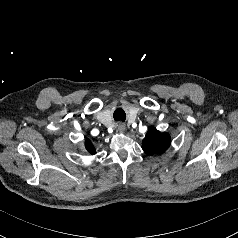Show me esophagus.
<instances>
[{"label":"esophagus","instance_id":"1","mask_svg":"<svg viewBox=\"0 0 238 238\" xmlns=\"http://www.w3.org/2000/svg\"><path fill=\"white\" fill-rule=\"evenodd\" d=\"M117 127H118V131H119V132H123L124 129H125V126H124V124H122V123H119V124L117 125Z\"/></svg>","mask_w":238,"mask_h":238}]
</instances>
